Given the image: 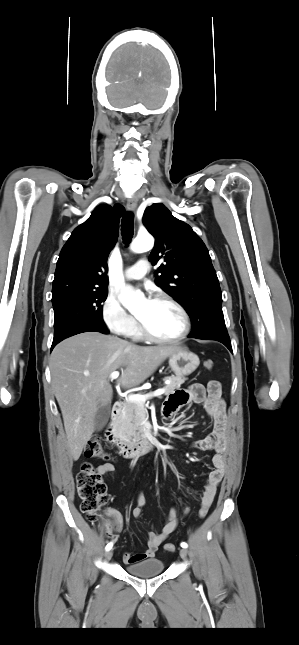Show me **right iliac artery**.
Masks as SVG:
<instances>
[{
	"mask_svg": "<svg viewBox=\"0 0 299 645\" xmlns=\"http://www.w3.org/2000/svg\"><path fill=\"white\" fill-rule=\"evenodd\" d=\"M112 546H113V543H112V542L108 543V544L106 545V548H105V549H106V551L110 550V549L112 548Z\"/></svg>",
	"mask_w": 299,
	"mask_h": 645,
	"instance_id": "82829eb1",
	"label": "right iliac artery"
}]
</instances>
